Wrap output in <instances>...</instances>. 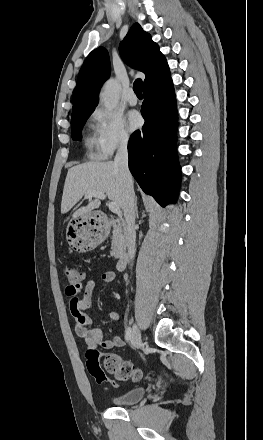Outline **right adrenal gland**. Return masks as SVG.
<instances>
[{
  "label": "right adrenal gland",
  "mask_w": 263,
  "mask_h": 440,
  "mask_svg": "<svg viewBox=\"0 0 263 440\" xmlns=\"http://www.w3.org/2000/svg\"><path fill=\"white\" fill-rule=\"evenodd\" d=\"M135 211H136V214L138 215L137 197H135Z\"/></svg>",
  "instance_id": "2a0ac1e0"
}]
</instances>
